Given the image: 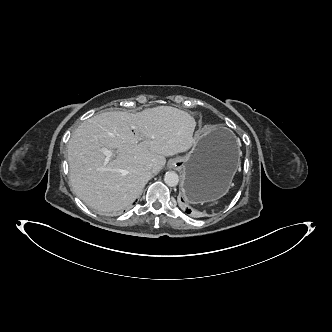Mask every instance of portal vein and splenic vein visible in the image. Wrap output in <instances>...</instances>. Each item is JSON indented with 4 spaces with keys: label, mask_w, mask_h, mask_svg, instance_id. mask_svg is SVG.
I'll return each instance as SVG.
<instances>
[{
    "label": "portal vein and splenic vein",
    "mask_w": 332,
    "mask_h": 332,
    "mask_svg": "<svg viewBox=\"0 0 332 332\" xmlns=\"http://www.w3.org/2000/svg\"><path fill=\"white\" fill-rule=\"evenodd\" d=\"M104 154H105L108 158H110V157L112 156V152H111L110 150H108V149L104 150Z\"/></svg>",
    "instance_id": "18ae733b"
}]
</instances>
